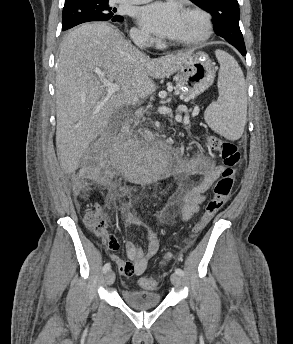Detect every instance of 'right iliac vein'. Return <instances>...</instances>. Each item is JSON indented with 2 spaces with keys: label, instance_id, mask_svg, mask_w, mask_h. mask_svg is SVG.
I'll list each match as a JSON object with an SVG mask.
<instances>
[{
  "label": "right iliac vein",
  "instance_id": "obj_1",
  "mask_svg": "<svg viewBox=\"0 0 293 344\" xmlns=\"http://www.w3.org/2000/svg\"><path fill=\"white\" fill-rule=\"evenodd\" d=\"M105 281L107 285H112L115 281V273L110 270L106 273Z\"/></svg>",
  "mask_w": 293,
  "mask_h": 344
}]
</instances>
